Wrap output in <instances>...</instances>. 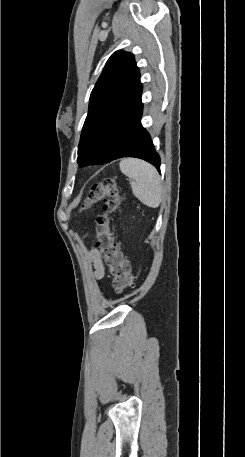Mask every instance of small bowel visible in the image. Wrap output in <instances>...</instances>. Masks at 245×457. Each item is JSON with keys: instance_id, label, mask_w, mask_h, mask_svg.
I'll list each match as a JSON object with an SVG mask.
<instances>
[{"instance_id": "1", "label": "small bowel", "mask_w": 245, "mask_h": 457, "mask_svg": "<svg viewBox=\"0 0 245 457\" xmlns=\"http://www.w3.org/2000/svg\"><path fill=\"white\" fill-rule=\"evenodd\" d=\"M91 257L94 265V275L97 279H100L104 276L105 269L99 251L95 248L92 249Z\"/></svg>"}]
</instances>
